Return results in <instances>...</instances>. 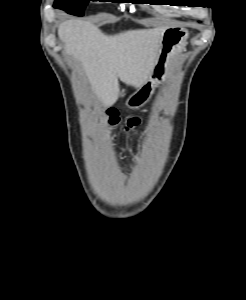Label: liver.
I'll return each instance as SVG.
<instances>
[{
    "instance_id": "obj_1",
    "label": "liver",
    "mask_w": 246,
    "mask_h": 300,
    "mask_svg": "<svg viewBox=\"0 0 246 300\" xmlns=\"http://www.w3.org/2000/svg\"><path fill=\"white\" fill-rule=\"evenodd\" d=\"M165 30L106 35L90 22L69 19L60 24L58 36L65 52L80 63L94 94L104 107H109L119 97L118 79L140 88L151 78Z\"/></svg>"
}]
</instances>
